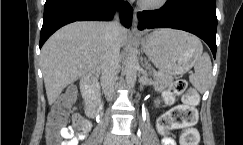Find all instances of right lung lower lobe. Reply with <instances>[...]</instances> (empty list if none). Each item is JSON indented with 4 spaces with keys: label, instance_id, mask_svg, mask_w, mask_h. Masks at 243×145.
Segmentation results:
<instances>
[{
    "label": "right lung lower lobe",
    "instance_id": "98d812e1",
    "mask_svg": "<svg viewBox=\"0 0 243 145\" xmlns=\"http://www.w3.org/2000/svg\"><path fill=\"white\" fill-rule=\"evenodd\" d=\"M120 9L122 24L129 28L133 9L122 0H46L40 48L60 27L82 20H111L116 9Z\"/></svg>",
    "mask_w": 243,
    "mask_h": 145
}]
</instances>
